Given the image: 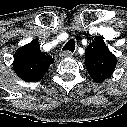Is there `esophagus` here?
Segmentation results:
<instances>
[{"label":"esophagus","instance_id":"obj_1","mask_svg":"<svg viewBox=\"0 0 127 127\" xmlns=\"http://www.w3.org/2000/svg\"><path fill=\"white\" fill-rule=\"evenodd\" d=\"M72 55H73V53L70 52V51H61V52L59 53V56H60L61 58L71 57Z\"/></svg>","mask_w":127,"mask_h":127}]
</instances>
